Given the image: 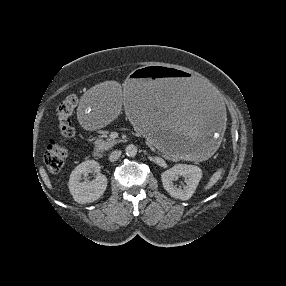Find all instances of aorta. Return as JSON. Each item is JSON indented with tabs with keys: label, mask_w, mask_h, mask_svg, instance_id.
<instances>
[{
	"label": "aorta",
	"mask_w": 286,
	"mask_h": 286,
	"mask_svg": "<svg viewBox=\"0 0 286 286\" xmlns=\"http://www.w3.org/2000/svg\"><path fill=\"white\" fill-rule=\"evenodd\" d=\"M127 156H135L137 154V147L133 144H130L125 149Z\"/></svg>",
	"instance_id": "obj_1"
}]
</instances>
